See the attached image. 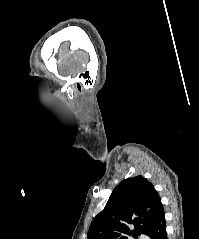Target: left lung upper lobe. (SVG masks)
<instances>
[{"label":"left lung upper lobe","instance_id":"5c2ea615","mask_svg":"<svg viewBox=\"0 0 199 239\" xmlns=\"http://www.w3.org/2000/svg\"><path fill=\"white\" fill-rule=\"evenodd\" d=\"M162 210L160 197L147 179H124L94 218L87 239H128L131 235L137 239V235L148 234ZM129 224L134 225V231Z\"/></svg>","mask_w":199,"mask_h":239}]
</instances>
